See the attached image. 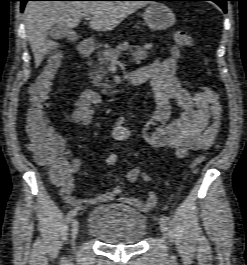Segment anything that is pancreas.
<instances>
[{"label":"pancreas","mask_w":247,"mask_h":265,"mask_svg":"<svg viewBox=\"0 0 247 265\" xmlns=\"http://www.w3.org/2000/svg\"><path fill=\"white\" fill-rule=\"evenodd\" d=\"M132 46L128 42L119 43L115 48H106L98 52V64L94 65L95 70L91 72L92 83L94 86L103 89V93L108 94L111 86L107 83L108 66L111 63V58H119L124 51L131 50ZM150 48L136 47L135 51L131 50L132 61L139 64L149 55Z\"/></svg>","instance_id":"1"}]
</instances>
